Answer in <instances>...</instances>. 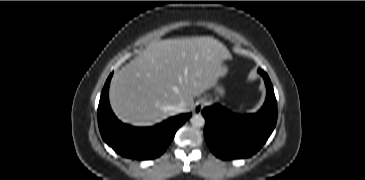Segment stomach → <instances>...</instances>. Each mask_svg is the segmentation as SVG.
I'll return each mask as SVG.
<instances>
[{
  "mask_svg": "<svg viewBox=\"0 0 365 180\" xmlns=\"http://www.w3.org/2000/svg\"><path fill=\"white\" fill-rule=\"evenodd\" d=\"M227 71H228L227 67L225 65L221 64L219 77H222V76L226 75ZM216 90L218 91V93L220 95L224 94V90L222 88L217 87Z\"/></svg>",
  "mask_w": 365,
  "mask_h": 180,
  "instance_id": "1",
  "label": "stomach"
}]
</instances>
